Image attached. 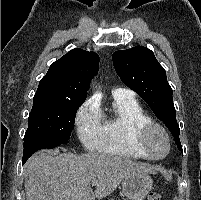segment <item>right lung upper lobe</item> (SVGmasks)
<instances>
[{
	"mask_svg": "<svg viewBox=\"0 0 201 200\" xmlns=\"http://www.w3.org/2000/svg\"><path fill=\"white\" fill-rule=\"evenodd\" d=\"M98 67L97 53L73 49L50 66L35 95L86 99L89 82L97 74Z\"/></svg>",
	"mask_w": 201,
	"mask_h": 200,
	"instance_id": "right-lung-upper-lobe-1",
	"label": "right lung upper lobe"
}]
</instances>
